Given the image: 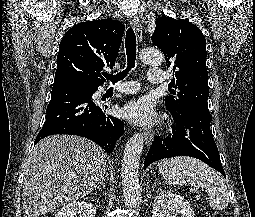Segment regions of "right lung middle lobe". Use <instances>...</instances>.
I'll list each match as a JSON object with an SVG mask.
<instances>
[{
    "label": "right lung middle lobe",
    "mask_w": 255,
    "mask_h": 217,
    "mask_svg": "<svg viewBox=\"0 0 255 217\" xmlns=\"http://www.w3.org/2000/svg\"><path fill=\"white\" fill-rule=\"evenodd\" d=\"M69 86H72V87H79L80 85H69Z\"/></svg>",
    "instance_id": "dd1d6c3e"
}]
</instances>
